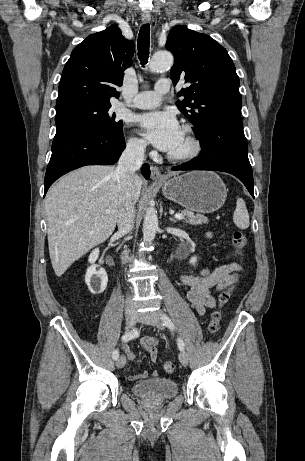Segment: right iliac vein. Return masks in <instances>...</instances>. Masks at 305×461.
I'll list each match as a JSON object with an SVG mask.
<instances>
[{
  "label": "right iliac vein",
  "mask_w": 305,
  "mask_h": 461,
  "mask_svg": "<svg viewBox=\"0 0 305 461\" xmlns=\"http://www.w3.org/2000/svg\"><path fill=\"white\" fill-rule=\"evenodd\" d=\"M137 320H138V316L135 310L133 308H128L125 311V323H126L127 328L131 329L135 325ZM125 364H126V358L124 355H121L116 361V366L118 368H123Z\"/></svg>",
  "instance_id": "63e3f726"
}]
</instances>
